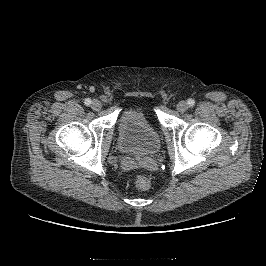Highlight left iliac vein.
I'll use <instances>...</instances> for the list:
<instances>
[{"mask_svg":"<svg viewBox=\"0 0 266 266\" xmlns=\"http://www.w3.org/2000/svg\"><path fill=\"white\" fill-rule=\"evenodd\" d=\"M188 108H189V105H188V103L185 102V101H180V102L177 104V106H176L177 111H179V112H181V113L187 111Z\"/></svg>","mask_w":266,"mask_h":266,"instance_id":"left-iliac-vein-1","label":"left iliac vein"}]
</instances>
